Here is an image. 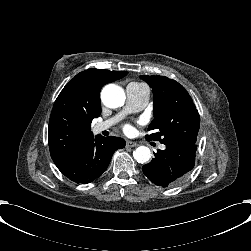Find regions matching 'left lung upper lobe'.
Instances as JSON below:
<instances>
[{"mask_svg":"<svg viewBox=\"0 0 251 251\" xmlns=\"http://www.w3.org/2000/svg\"><path fill=\"white\" fill-rule=\"evenodd\" d=\"M140 77L150 85L154 96V120L148 130L156 133L146 138L165 145L196 144L200 117L185 88L165 76Z\"/></svg>","mask_w":251,"mask_h":251,"instance_id":"1","label":"left lung upper lobe"}]
</instances>
